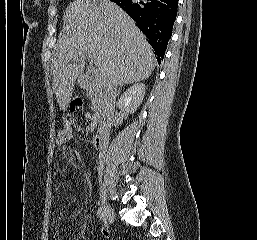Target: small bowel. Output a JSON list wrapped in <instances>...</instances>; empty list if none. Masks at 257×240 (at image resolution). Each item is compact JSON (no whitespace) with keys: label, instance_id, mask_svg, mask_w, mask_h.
<instances>
[{"label":"small bowel","instance_id":"small-bowel-1","mask_svg":"<svg viewBox=\"0 0 257 240\" xmlns=\"http://www.w3.org/2000/svg\"><path fill=\"white\" fill-rule=\"evenodd\" d=\"M71 138H72V129L70 126L66 125L62 129H60L57 133L56 146L60 149Z\"/></svg>","mask_w":257,"mask_h":240}]
</instances>
